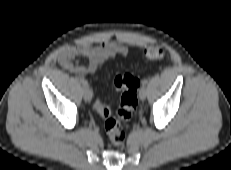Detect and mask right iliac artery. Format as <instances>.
<instances>
[{
	"label": "right iliac artery",
	"instance_id": "1",
	"mask_svg": "<svg viewBox=\"0 0 231 170\" xmlns=\"http://www.w3.org/2000/svg\"><path fill=\"white\" fill-rule=\"evenodd\" d=\"M80 82L84 87H89L88 82L84 78H80Z\"/></svg>",
	"mask_w": 231,
	"mask_h": 170
}]
</instances>
